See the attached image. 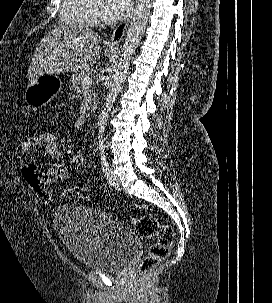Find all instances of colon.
Segmentation results:
<instances>
[{
	"label": "colon",
	"instance_id": "colon-1",
	"mask_svg": "<svg viewBox=\"0 0 272 303\" xmlns=\"http://www.w3.org/2000/svg\"><path fill=\"white\" fill-rule=\"evenodd\" d=\"M37 137L42 148H59L57 136L52 130H43L37 134ZM71 159L73 167L77 170L83 169L86 165L85 156L81 152L74 153ZM23 175L37 197L44 203H50L52 199L51 194L41 183L35 167L25 166L23 168ZM63 195L66 198H78L82 200H89L91 198L88 189L78 186L64 189ZM133 225L141 237L156 238V241L150 245L146 256L138 268L139 276L143 278L169 256L174 242L175 232L172 226L162 224L155 217L149 215L134 218Z\"/></svg>",
	"mask_w": 272,
	"mask_h": 303
}]
</instances>
